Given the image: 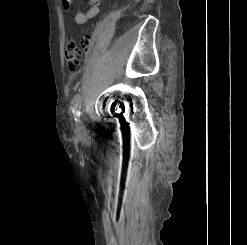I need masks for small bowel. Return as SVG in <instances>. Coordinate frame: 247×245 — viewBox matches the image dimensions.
<instances>
[{"label": "small bowel", "mask_w": 247, "mask_h": 245, "mask_svg": "<svg viewBox=\"0 0 247 245\" xmlns=\"http://www.w3.org/2000/svg\"><path fill=\"white\" fill-rule=\"evenodd\" d=\"M73 0H62L65 7H69ZM101 0H89V8L85 11L77 10L74 13V21L77 24H85L90 19L96 17L100 12Z\"/></svg>", "instance_id": "1"}]
</instances>
